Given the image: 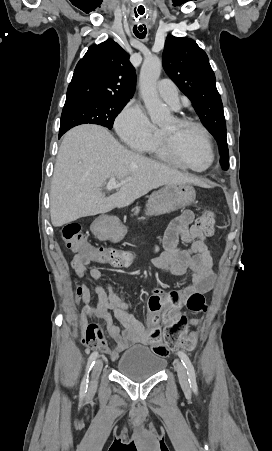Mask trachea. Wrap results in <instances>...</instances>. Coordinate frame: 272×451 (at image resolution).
<instances>
[{"mask_svg": "<svg viewBox=\"0 0 272 451\" xmlns=\"http://www.w3.org/2000/svg\"><path fill=\"white\" fill-rule=\"evenodd\" d=\"M134 33H135V35H136L138 38H144L145 35H146V32L139 33V32H137V31H135V30H134Z\"/></svg>", "mask_w": 272, "mask_h": 451, "instance_id": "1", "label": "trachea"}]
</instances>
